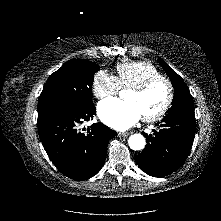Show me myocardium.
Masks as SVG:
<instances>
[{"label":"myocardium","instance_id":"f54148a6","mask_svg":"<svg viewBox=\"0 0 221 221\" xmlns=\"http://www.w3.org/2000/svg\"><path fill=\"white\" fill-rule=\"evenodd\" d=\"M158 83H164L167 86V89H168L167 98L163 106L156 113L152 115L142 116V119L145 122L158 121L167 114L174 100V86L167 77L157 76V77L150 78L144 81L143 83L130 88V91H133L138 94H143Z\"/></svg>","mask_w":221,"mask_h":221}]
</instances>
